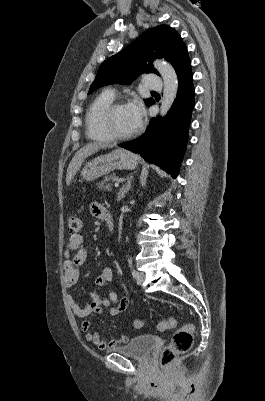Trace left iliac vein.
<instances>
[{"label":"left iliac vein","mask_w":265,"mask_h":401,"mask_svg":"<svg viewBox=\"0 0 265 401\" xmlns=\"http://www.w3.org/2000/svg\"><path fill=\"white\" fill-rule=\"evenodd\" d=\"M145 278V273L144 272H137V277H136V281L138 284H141L143 282Z\"/></svg>","instance_id":"obj_1"}]
</instances>
